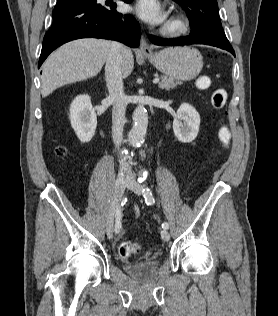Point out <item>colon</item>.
I'll list each match as a JSON object with an SVG mask.
<instances>
[{"label":"colon","mask_w":278,"mask_h":316,"mask_svg":"<svg viewBox=\"0 0 278 316\" xmlns=\"http://www.w3.org/2000/svg\"><path fill=\"white\" fill-rule=\"evenodd\" d=\"M199 86H206L209 84V79L202 77L198 80ZM227 101V91L225 88L218 87L214 88L211 94V104L215 109H222ZM219 138L223 146H227L230 140V133L226 127H222L219 132ZM58 155H64L65 148L59 146L56 149ZM139 251V246L132 241H123L119 245L118 252L123 258H128Z\"/></svg>","instance_id":"1"}]
</instances>
